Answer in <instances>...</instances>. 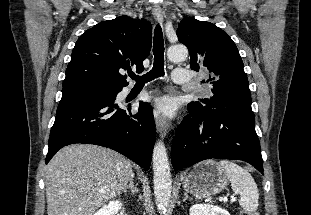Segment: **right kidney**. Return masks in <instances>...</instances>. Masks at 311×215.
Returning <instances> with one entry per match:
<instances>
[{
	"instance_id": "ca27d5eb",
	"label": "right kidney",
	"mask_w": 311,
	"mask_h": 215,
	"mask_svg": "<svg viewBox=\"0 0 311 215\" xmlns=\"http://www.w3.org/2000/svg\"><path fill=\"white\" fill-rule=\"evenodd\" d=\"M122 208V203L119 200H113L108 205H104L93 215H116Z\"/></svg>"
}]
</instances>
